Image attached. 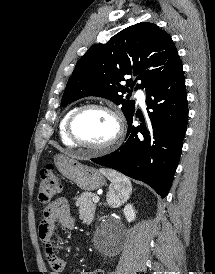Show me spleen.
I'll use <instances>...</instances> for the list:
<instances>
[{
  "label": "spleen",
  "instance_id": "1",
  "mask_svg": "<svg viewBox=\"0 0 215 274\" xmlns=\"http://www.w3.org/2000/svg\"><path fill=\"white\" fill-rule=\"evenodd\" d=\"M100 172L111 181L109 192L106 195L108 204L112 207L120 206L123 201V196L132 191L130 180L126 176L111 169H100Z\"/></svg>",
  "mask_w": 215,
  "mask_h": 274
}]
</instances>
